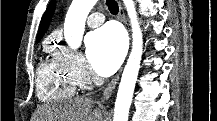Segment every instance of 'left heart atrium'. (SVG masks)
Listing matches in <instances>:
<instances>
[{"mask_svg":"<svg viewBox=\"0 0 217 121\" xmlns=\"http://www.w3.org/2000/svg\"><path fill=\"white\" fill-rule=\"evenodd\" d=\"M87 58L100 76L112 74L122 62L126 52V39L121 28L107 24L91 32L85 39Z\"/></svg>","mask_w":217,"mask_h":121,"instance_id":"left-heart-atrium-1","label":"left heart atrium"}]
</instances>
